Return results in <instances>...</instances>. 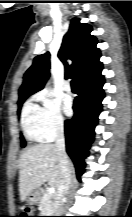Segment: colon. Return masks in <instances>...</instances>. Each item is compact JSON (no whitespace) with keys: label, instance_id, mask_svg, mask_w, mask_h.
I'll use <instances>...</instances> for the list:
<instances>
[{"label":"colon","instance_id":"colon-1","mask_svg":"<svg viewBox=\"0 0 132 217\" xmlns=\"http://www.w3.org/2000/svg\"><path fill=\"white\" fill-rule=\"evenodd\" d=\"M18 217H35V216H31V212L29 210H26Z\"/></svg>","mask_w":132,"mask_h":217}]
</instances>
